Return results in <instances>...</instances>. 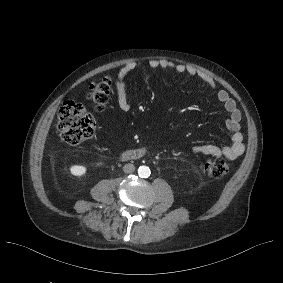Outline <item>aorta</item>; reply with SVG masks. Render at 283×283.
Listing matches in <instances>:
<instances>
[{
	"label": "aorta",
	"instance_id": "1",
	"mask_svg": "<svg viewBox=\"0 0 283 283\" xmlns=\"http://www.w3.org/2000/svg\"><path fill=\"white\" fill-rule=\"evenodd\" d=\"M138 175L141 178H148L150 176V168L147 166H140L138 168Z\"/></svg>",
	"mask_w": 283,
	"mask_h": 283
}]
</instances>
